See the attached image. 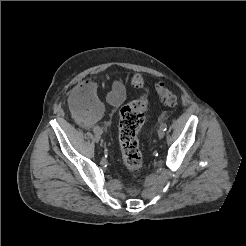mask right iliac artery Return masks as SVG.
Segmentation results:
<instances>
[{"label":"right iliac artery","instance_id":"1","mask_svg":"<svg viewBox=\"0 0 246 246\" xmlns=\"http://www.w3.org/2000/svg\"><path fill=\"white\" fill-rule=\"evenodd\" d=\"M93 131L94 133H99L100 135L102 134V130L99 127H94Z\"/></svg>","mask_w":246,"mask_h":246}]
</instances>
